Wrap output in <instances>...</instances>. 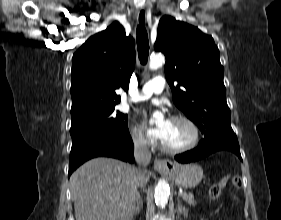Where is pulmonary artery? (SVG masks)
<instances>
[{
	"instance_id": "obj_1",
	"label": "pulmonary artery",
	"mask_w": 281,
	"mask_h": 220,
	"mask_svg": "<svg viewBox=\"0 0 281 220\" xmlns=\"http://www.w3.org/2000/svg\"><path fill=\"white\" fill-rule=\"evenodd\" d=\"M166 82L161 76L154 77L148 81L142 88L139 95L136 97L137 101H145L154 95H159L163 92Z\"/></svg>"
}]
</instances>
